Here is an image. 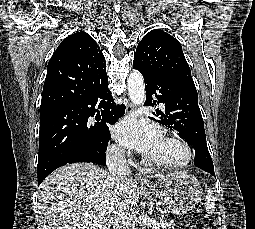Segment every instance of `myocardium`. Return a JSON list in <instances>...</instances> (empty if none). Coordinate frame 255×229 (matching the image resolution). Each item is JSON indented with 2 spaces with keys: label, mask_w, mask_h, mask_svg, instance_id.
Returning a JSON list of instances; mask_svg holds the SVG:
<instances>
[{
  "label": "myocardium",
  "mask_w": 255,
  "mask_h": 229,
  "mask_svg": "<svg viewBox=\"0 0 255 229\" xmlns=\"http://www.w3.org/2000/svg\"><path fill=\"white\" fill-rule=\"evenodd\" d=\"M163 139L178 146L183 152L182 158L178 161H165V160H158V159H154L152 157L146 156L144 158L146 164L150 166L162 168V169L173 170V169H180L182 167H185L191 162L193 157V152L190 145L184 139L173 134H165L163 136Z\"/></svg>",
  "instance_id": "f54148a6"
}]
</instances>
